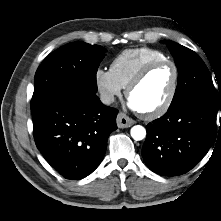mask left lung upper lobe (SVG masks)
<instances>
[{
    "mask_svg": "<svg viewBox=\"0 0 221 221\" xmlns=\"http://www.w3.org/2000/svg\"><path fill=\"white\" fill-rule=\"evenodd\" d=\"M167 46L175 58L179 72L178 85L171 105L185 99L196 98L217 108L219 99L210 72L202 59L194 51L175 42L169 41Z\"/></svg>",
    "mask_w": 221,
    "mask_h": 221,
    "instance_id": "left-lung-upper-lobe-1",
    "label": "left lung upper lobe"
}]
</instances>
